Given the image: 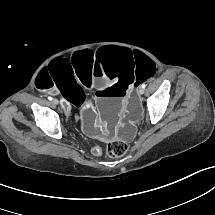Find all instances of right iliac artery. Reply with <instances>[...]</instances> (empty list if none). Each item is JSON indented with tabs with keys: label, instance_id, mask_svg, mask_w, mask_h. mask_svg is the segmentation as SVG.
<instances>
[{
	"label": "right iliac artery",
	"instance_id": "1",
	"mask_svg": "<svg viewBox=\"0 0 215 215\" xmlns=\"http://www.w3.org/2000/svg\"><path fill=\"white\" fill-rule=\"evenodd\" d=\"M49 100H52V97H48Z\"/></svg>",
	"mask_w": 215,
	"mask_h": 215
}]
</instances>
